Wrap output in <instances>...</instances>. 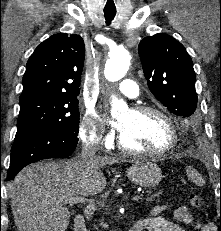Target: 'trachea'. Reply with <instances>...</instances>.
<instances>
[{
  "label": "trachea",
  "mask_w": 221,
  "mask_h": 231,
  "mask_svg": "<svg viewBox=\"0 0 221 231\" xmlns=\"http://www.w3.org/2000/svg\"><path fill=\"white\" fill-rule=\"evenodd\" d=\"M115 15H116V11L104 10V16H105V20H106L107 25L111 24Z\"/></svg>",
  "instance_id": "trachea-1"
}]
</instances>
